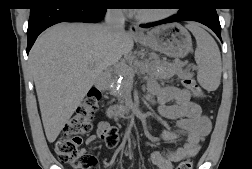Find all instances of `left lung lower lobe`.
Wrapping results in <instances>:
<instances>
[{
    "label": "left lung lower lobe",
    "instance_id": "0a47b994",
    "mask_svg": "<svg viewBox=\"0 0 252 169\" xmlns=\"http://www.w3.org/2000/svg\"><path fill=\"white\" fill-rule=\"evenodd\" d=\"M179 21H196L202 23L207 27H209L210 29H212L214 33L221 40V26L215 6H208L205 8H200L188 12H178V14L174 15L171 18L140 26L143 28H149L160 24L179 22Z\"/></svg>",
    "mask_w": 252,
    "mask_h": 169
}]
</instances>
